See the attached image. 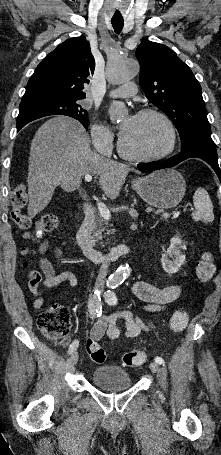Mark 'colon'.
Wrapping results in <instances>:
<instances>
[{"label":"colon","instance_id":"obj_1","mask_svg":"<svg viewBox=\"0 0 221 455\" xmlns=\"http://www.w3.org/2000/svg\"><path fill=\"white\" fill-rule=\"evenodd\" d=\"M11 218L15 224L25 232V237L30 242L24 248V254L28 257L26 265L31 263L34 255L35 244L42 236L55 230L58 224V217L55 214L47 213L41 215L34 223L31 218L22 210L27 202V189L24 184H18L10 196ZM214 274V263L209 253H204L196 266L197 279L201 283H207ZM40 332L50 340L65 341L71 330L70 315L67 308L61 303H54L41 313L37 320ZM187 325V313L184 310L176 311L169 320V328L173 332L182 331ZM86 350L93 362L102 364L106 360L104 349L97 340L89 338L86 343ZM146 354L142 351L127 352L123 356V363L128 367H137L144 364Z\"/></svg>","mask_w":221,"mask_h":455}]
</instances>
